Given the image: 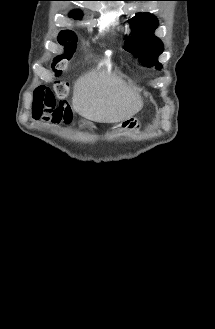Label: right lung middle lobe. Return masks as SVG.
<instances>
[{"label":"right lung middle lobe","mask_w":215,"mask_h":329,"mask_svg":"<svg viewBox=\"0 0 215 329\" xmlns=\"http://www.w3.org/2000/svg\"><path fill=\"white\" fill-rule=\"evenodd\" d=\"M73 18H74V17H73ZM75 19H79V18H75ZM66 38H69V36L65 37L64 39H66ZM64 39H63V40H64Z\"/></svg>","instance_id":"dd1d6c3e"}]
</instances>
